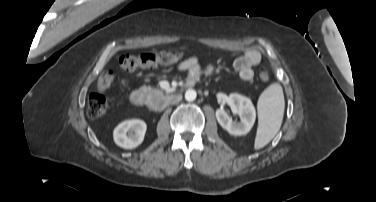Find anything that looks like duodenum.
Masks as SVG:
<instances>
[{"label":"duodenum","instance_id":"duodenum-1","mask_svg":"<svg viewBox=\"0 0 376 202\" xmlns=\"http://www.w3.org/2000/svg\"><path fill=\"white\" fill-rule=\"evenodd\" d=\"M190 85V84H189ZM181 92H176L170 95H164L156 98L148 105L145 104L144 95L141 91L135 90L130 94V102L135 107H147L150 110L158 111L167 106L171 101L180 97Z\"/></svg>","mask_w":376,"mask_h":202}]
</instances>
